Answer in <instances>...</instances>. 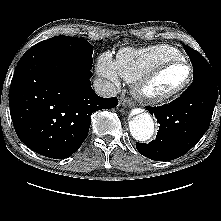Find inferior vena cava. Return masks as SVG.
<instances>
[{
  "mask_svg": "<svg viewBox=\"0 0 221 221\" xmlns=\"http://www.w3.org/2000/svg\"><path fill=\"white\" fill-rule=\"evenodd\" d=\"M93 88L96 94L102 97H113L117 95V88L114 84L102 78H96L94 80Z\"/></svg>",
  "mask_w": 221,
  "mask_h": 221,
  "instance_id": "1",
  "label": "inferior vena cava"
}]
</instances>
